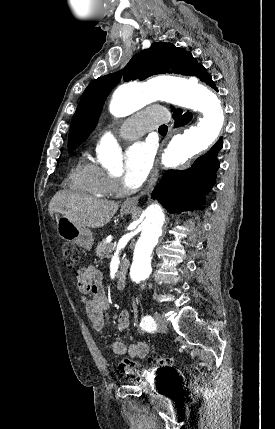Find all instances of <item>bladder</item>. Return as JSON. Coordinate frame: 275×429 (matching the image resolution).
Listing matches in <instances>:
<instances>
[{"label": "bladder", "mask_w": 275, "mask_h": 429, "mask_svg": "<svg viewBox=\"0 0 275 429\" xmlns=\"http://www.w3.org/2000/svg\"><path fill=\"white\" fill-rule=\"evenodd\" d=\"M140 393H157L159 398H164L169 393V384H140Z\"/></svg>", "instance_id": "31cf9c89"}]
</instances>
